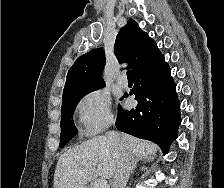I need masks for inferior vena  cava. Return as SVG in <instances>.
<instances>
[{
  "instance_id": "obj_1",
  "label": "inferior vena cava",
  "mask_w": 224,
  "mask_h": 188,
  "mask_svg": "<svg viewBox=\"0 0 224 188\" xmlns=\"http://www.w3.org/2000/svg\"><path fill=\"white\" fill-rule=\"evenodd\" d=\"M107 138L119 150L116 172L113 176L112 188H126L131 174L133 157L119 133L109 131Z\"/></svg>"
}]
</instances>
